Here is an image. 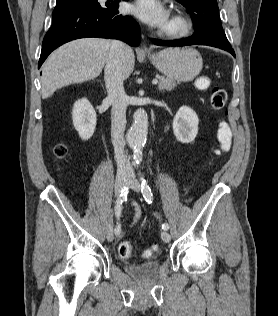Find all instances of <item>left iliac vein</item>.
Returning <instances> with one entry per match:
<instances>
[{"label":"left iliac vein","instance_id":"1","mask_svg":"<svg viewBox=\"0 0 278 316\" xmlns=\"http://www.w3.org/2000/svg\"><path fill=\"white\" fill-rule=\"evenodd\" d=\"M127 185L134 191L138 192L140 190V184L139 182L137 181V179L135 178L134 174H130L128 176V180H127ZM161 238L162 240L165 242V243H168L170 242L171 240V236L170 234L164 230L162 233H161Z\"/></svg>","mask_w":278,"mask_h":316}]
</instances>
